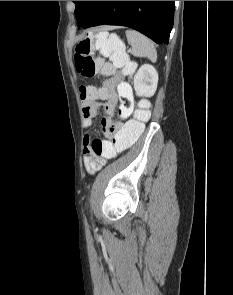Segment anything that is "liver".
I'll return each mask as SVG.
<instances>
[{"label": "liver", "instance_id": "obj_1", "mask_svg": "<svg viewBox=\"0 0 233 295\" xmlns=\"http://www.w3.org/2000/svg\"><path fill=\"white\" fill-rule=\"evenodd\" d=\"M115 27H106L105 30L114 29Z\"/></svg>", "mask_w": 233, "mask_h": 295}]
</instances>
